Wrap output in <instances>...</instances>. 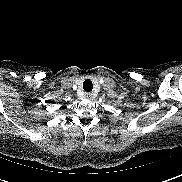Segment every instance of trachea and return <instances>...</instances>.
<instances>
[{"mask_svg": "<svg viewBox=\"0 0 182 182\" xmlns=\"http://www.w3.org/2000/svg\"><path fill=\"white\" fill-rule=\"evenodd\" d=\"M83 89H84V91H88V92L92 91V89H93L92 81L91 80H85L83 82Z\"/></svg>", "mask_w": 182, "mask_h": 182, "instance_id": "3493384b", "label": "trachea"}]
</instances>
